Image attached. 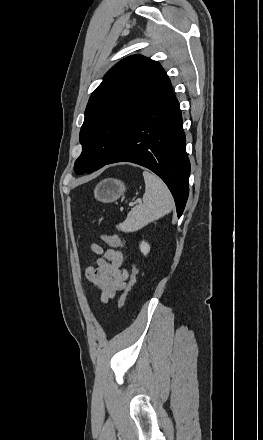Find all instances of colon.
I'll use <instances>...</instances> for the list:
<instances>
[{
	"mask_svg": "<svg viewBox=\"0 0 263 440\" xmlns=\"http://www.w3.org/2000/svg\"><path fill=\"white\" fill-rule=\"evenodd\" d=\"M101 236L104 239V241L111 247H124V242L116 235L102 233ZM135 274H136V270L135 268H133L128 284L125 287L124 292L120 299L121 305H124V303L126 302L129 293L135 283Z\"/></svg>",
	"mask_w": 263,
	"mask_h": 440,
	"instance_id": "5ec220e1",
	"label": "colon"
}]
</instances>
